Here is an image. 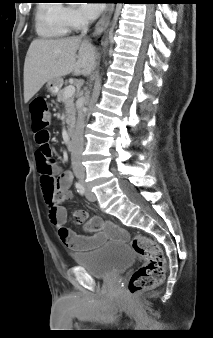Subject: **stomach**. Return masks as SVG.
I'll use <instances>...</instances> for the list:
<instances>
[{
    "label": "stomach",
    "mask_w": 213,
    "mask_h": 338,
    "mask_svg": "<svg viewBox=\"0 0 213 338\" xmlns=\"http://www.w3.org/2000/svg\"><path fill=\"white\" fill-rule=\"evenodd\" d=\"M62 84H63V79L56 78V79L48 81L46 84V87H47L48 92H50L52 95H55L61 88Z\"/></svg>",
    "instance_id": "0dacf381"
}]
</instances>
